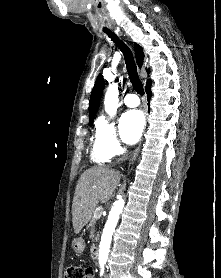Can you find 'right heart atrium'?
<instances>
[{
	"label": "right heart atrium",
	"mask_w": 221,
	"mask_h": 278,
	"mask_svg": "<svg viewBox=\"0 0 221 278\" xmlns=\"http://www.w3.org/2000/svg\"><path fill=\"white\" fill-rule=\"evenodd\" d=\"M96 138L111 158L122 152L123 146L118 139L115 125L109 120L102 118L98 122Z\"/></svg>",
	"instance_id": "d8ad5b80"
}]
</instances>
